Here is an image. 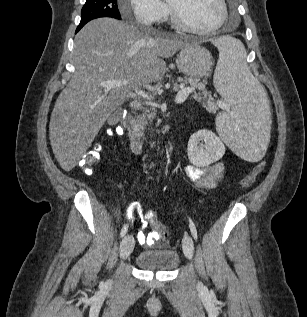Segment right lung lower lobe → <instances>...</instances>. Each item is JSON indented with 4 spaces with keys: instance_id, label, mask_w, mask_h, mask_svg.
<instances>
[{
    "instance_id": "right-lung-lower-lobe-1",
    "label": "right lung lower lobe",
    "mask_w": 307,
    "mask_h": 317,
    "mask_svg": "<svg viewBox=\"0 0 307 317\" xmlns=\"http://www.w3.org/2000/svg\"><path fill=\"white\" fill-rule=\"evenodd\" d=\"M82 27H83V25H79V26L77 27L76 32H78Z\"/></svg>"
}]
</instances>
